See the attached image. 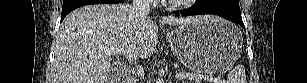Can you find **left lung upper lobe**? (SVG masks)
Here are the masks:
<instances>
[{"label":"left lung upper lobe","mask_w":307,"mask_h":83,"mask_svg":"<svg viewBox=\"0 0 307 83\" xmlns=\"http://www.w3.org/2000/svg\"><path fill=\"white\" fill-rule=\"evenodd\" d=\"M216 1H221V0H216ZM229 1L234 2L239 5V0H229Z\"/></svg>","instance_id":"obj_1"}]
</instances>
